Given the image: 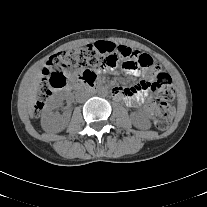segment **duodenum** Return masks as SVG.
I'll return each instance as SVG.
<instances>
[{"label":"duodenum","instance_id":"duodenum-1","mask_svg":"<svg viewBox=\"0 0 207 207\" xmlns=\"http://www.w3.org/2000/svg\"><path fill=\"white\" fill-rule=\"evenodd\" d=\"M85 87H88L90 90H96L98 85L95 82V77L85 76L78 83H76L73 88L75 90H80Z\"/></svg>","mask_w":207,"mask_h":207}]
</instances>
